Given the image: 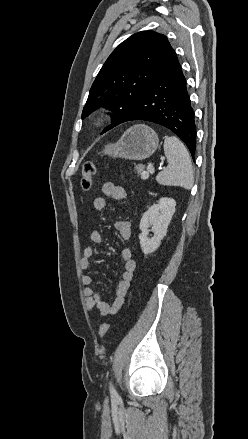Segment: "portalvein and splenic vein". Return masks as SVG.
I'll return each mask as SVG.
<instances>
[{
	"label": "portal vein and splenic vein",
	"instance_id": "18ae733b",
	"mask_svg": "<svg viewBox=\"0 0 248 439\" xmlns=\"http://www.w3.org/2000/svg\"><path fill=\"white\" fill-rule=\"evenodd\" d=\"M147 170H148L147 172L143 173V176H142L143 179H147L149 177V172L150 173H154L155 172L154 166L151 163L148 164Z\"/></svg>",
	"mask_w": 248,
	"mask_h": 439
}]
</instances>
